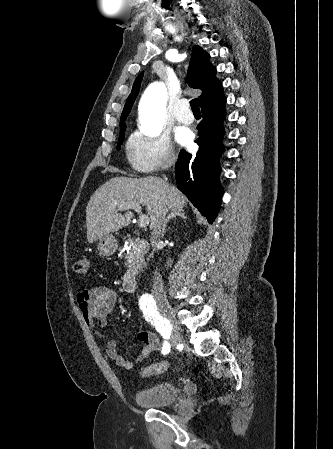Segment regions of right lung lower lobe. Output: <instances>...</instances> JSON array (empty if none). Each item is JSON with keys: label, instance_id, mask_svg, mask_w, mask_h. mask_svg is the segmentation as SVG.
I'll return each mask as SVG.
<instances>
[{"label": "right lung lower lobe", "instance_id": "right-lung-lower-lobe-1", "mask_svg": "<svg viewBox=\"0 0 333 449\" xmlns=\"http://www.w3.org/2000/svg\"><path fill=\"white\" fill-rule=\"evenodd\" d=\"M226 98L222 89L206 97L201 103L203 120L197 126L199 138L196 154L181 150L175 165L177 187L209 223H213L220 209L222 187L219 182V158L223 152V120Z\"/></svg>", "mask_w": 333, "mask_h": 449}]
</instances>
